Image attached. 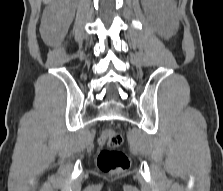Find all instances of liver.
I'll use <instances>...</instances> for the list:
<instances>
[{
    "label": "liver",
    "instance_id": "liver-1",
    "mask_svg": "<svg viewBox=\"0 0 223 191\" xmlns=\"http://www.w3.org/2000/svg\"><path fill=\"white\" fill-rule=\"evenodd\" d=\"M50 2H52V0H43V3H44V4H48V3H50Z\"/></svg>",
    "mask_w": 223,
    "mask_h": 191
}]
</instances>
